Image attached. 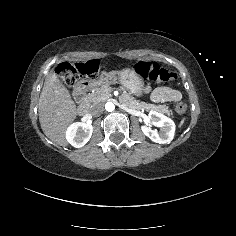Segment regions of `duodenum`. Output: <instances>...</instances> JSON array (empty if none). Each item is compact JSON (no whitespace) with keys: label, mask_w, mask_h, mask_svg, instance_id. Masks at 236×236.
<instances>
[{"label":"duodenum","mask_w":236,"mask_h":236,"mask_svg":"<svg viewBox=\"0 0 236 236\" xmlns=\"http://www.w3.org/2000/svg\"><path fill=\"white\" fill-rule=\"evenodd\" d=\"M95 82L96 79H83L78 82L74 89V97L76 99V112L79 115H84L88 111V104L85 99V94Z\"/></svg>","instance_id":"1"}]
</instances>
